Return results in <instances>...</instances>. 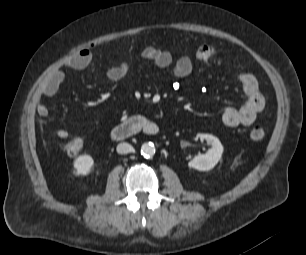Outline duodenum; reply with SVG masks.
Instances as JSON below:
<instances>
[{
    "mask_svg": "<svg viewBox=\"0 0 306 255\" xmlns=\"http://www.w3.org/2000/svg\"><path fill=\"white\" fill-rule=\"evenodd\" d=\"M158 124L146 116H132L114 126L110 137L114 141H123L140 133L154 136L159 133Z\"/></svg>",
    "mask_w": 306,
    "mask_h": 255,
    "instance_id": "obj_1",
    "label": "duodenum"
}]
</instances>
